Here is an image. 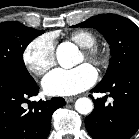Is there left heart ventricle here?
I'll use <instances>...</instances> for the list:
<instances>
[{"label":"left heart ventricle","instance_id":"1","mask_svg":"<svg viewBox=\"0 0 139 139\" xmlns=\"http://www.w3.org/2000/svg\"><path fill=\"white\" fill-rule=\"evenodd\" d=\"M85 60H86V59H85V56H84V54H82V55H81V58H80V60H79V63H83Z\"/></svg>","mask_w":139,"mask_h":139}]
</instances>
